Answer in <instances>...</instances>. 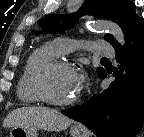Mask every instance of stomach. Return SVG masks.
Listing matches in <instances>:
<instances>
[{
    "label": "stomach",
    "instance_id": "1",
    "mask_svg": "<svg viewBox=\"0 0 144 137\" xmlns=\"http://www.w3.org/2000/svg\"><path fill=\"white\" fill-rule=\"evenodd\" d=\"M72 137H83L82 131L78 127H72L70 130ZM36 128L13 127L10 131V137H37Z\"/></svg>",
    "mask_w": 144,
    "mask_h": 137
}]
</instances>
